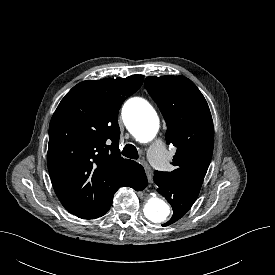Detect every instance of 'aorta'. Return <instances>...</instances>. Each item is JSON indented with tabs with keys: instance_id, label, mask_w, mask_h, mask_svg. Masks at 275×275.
<instances>
[{
	"instance_id": "1",
	"label": "aorta",
	"mask_w": 275,
	"mask_h": 275,
	"mask_svg": "<svg viewBox=\"0 0 275 275\" xmlns=\"http://www.w3.org/2000/svg\"><path fill=\"white\" fill-rule=\"evenodd\" d=\"M126 127L137 141H151L159 130V117L155 109L142 98L128 100L122 109ZM146 219L156 226L165 224L171 216L170 206L156 195L150 197L143 209Z\"/></svg>"
}]
</instances>
